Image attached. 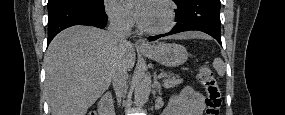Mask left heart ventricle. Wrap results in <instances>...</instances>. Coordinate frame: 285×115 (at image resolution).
<instances>
[{
	"label": "left heart ventricle",
	"mask_w": 285,
	"mask_h": 115,
	"mask_svg": "<svg viewBox=\"0 0 285 115\" xmlns=\"http://www.w3.org/2000/svg\"><path fill=\"white\" fill-rule=\"evenodd\" d=\"M166 20L167 12L165 6L158 3H152L148 21L144 26L147 28H158L163 26L166 23Z\"/></svg>",
	"instance_id": "left-heart-ventricle-1"
}]
</instances>
